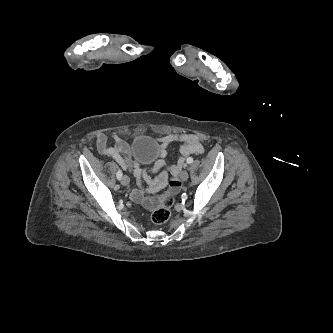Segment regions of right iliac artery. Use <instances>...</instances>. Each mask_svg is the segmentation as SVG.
Returning a JSON list of instances; mask_svg holds the SVG:
<instances>
[{
  "label": "right iliac artery",
  "mask_w": 333,
  "mask_h": 333,
  "mask_svg": "<svg viewBox=\"0 0 333 333\" xmlns=\"http://www.w3.org/2000/svg\"><path fill=\"white\" fill-rule=\"evenodd\" d=\"M122 175H123V173H122V171L119 169V170L117 171V174H116L117 179H118V180H121Z\"/></svg>",
  "instance_id": "82829eb1"
}]
</instances>
